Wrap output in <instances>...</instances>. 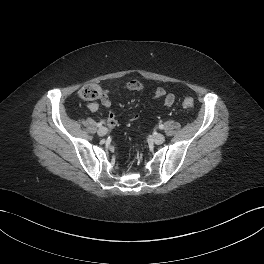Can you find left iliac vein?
Masks as SVG:
<instances>
[{
  "label": "left iliac vein",
  "mask_w": 264,
  "mask_h": 264,
  "mask_svg": "<svg viewBox=\"0 0 264 264\" xmlns=\"http://www.w3.org/2000/svg\"><path fill=\"white\" fill-rule=\"evenodd\" d=\"M153 141L155 144H162L165 141V136L163 134L157 133L153 135Z\"/></svg>",
  "instance_id": "1"
}]
</instances>
